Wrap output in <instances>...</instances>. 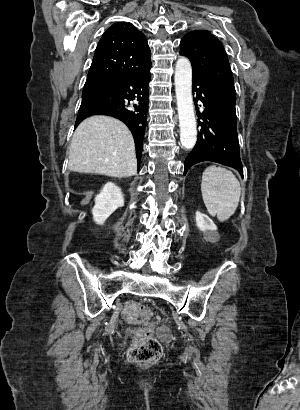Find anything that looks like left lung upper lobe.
I'll return each mask as SVG.
<instances>
[{"mask_svg":"<svg viewBox=\"0 0 300 410\" xmlns=\"http://www.w3.org/2000/svg\"><path fill=\"white\" fill-rule=\"evenodd\" d=\"M180 54L189 58L193 73L223 86L236 97L234 78L222 43L207 30L187 33L180 43Z\"/></svg>","mask_w":300,"mask_h":410,"instance_id":"5c2ea615","label":"left lung upper lobe"}]
</instances>
